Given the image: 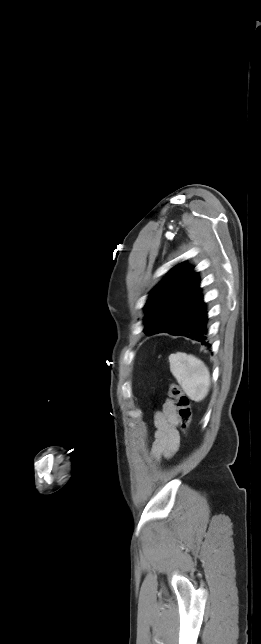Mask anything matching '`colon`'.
Wrapping results in <instances>:
<instances>
[{"mask_svg": "<svg viewBox=\"0 0 261 644\" xmlns=\"http://www.w3.org/2000/svg\"><path fill=\"white\" fill-rule=\"evenodd\" d=\"M169 394L174 400L179 426L183 432H186L192 420L190 400L181 387L175 383L170 385Z\"/></svg>", "mask_w": 261, "mask_h": 644, "instance_id": "obj_1", "label": "colon"}]
</instances>
